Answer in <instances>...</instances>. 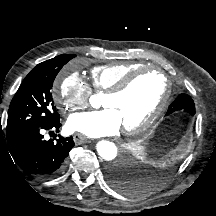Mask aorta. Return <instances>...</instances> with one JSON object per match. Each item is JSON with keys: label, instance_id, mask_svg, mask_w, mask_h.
Wrapping results in <instances>:
<instances>
[{"label": "aorta", "instance_id": "762f6f07", "mask_svg": "<svg viewBox=\"0 0 216 216\" xmlns=\"http://www.w3.org/2000/svg\"><path fill=\"white\" fill-rule=\"evenodd\" d=\"M97 97L93 96L91 102L96 100ZM97 152L101 158L107 161H111L116 158L118 149L113 142L107 140H101L97 143L96 146Z\"/></svg>", "mask_w": 216, "mask_h": 216}]
</instances>
